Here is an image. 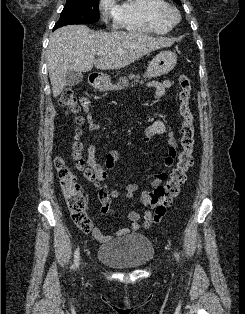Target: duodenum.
<instances>
[{
	"label": "duodenum",
	"instance_id": "410a0bca",
	"mask_svg": "<svg viewBox=\"0 0 245 314\" xmlns=\"http://www.w3.org/2000/svg\"><path fill=\"white\" fill-rule=\"evenodd\" d=\"M93 82L96 83V79H94Z\"/></svg>",
	"mask_w": 245,
	"mask_h": 314
}]
</instances>
